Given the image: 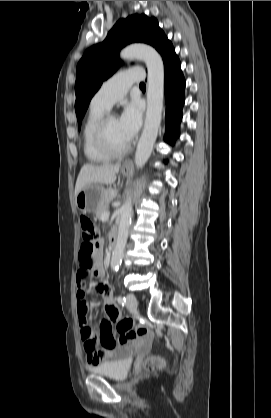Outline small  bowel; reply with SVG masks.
Masks as SVG:
<instances>
[{"label":"small bowel","instance_id":"obj_1","mask_svg":"<svg viewBox=\"0 0 271 418\" xmlns=\"http://www.w3.org/2000/svg\"><path fill=\"white\" fill-rule=\"evenodd\" d=\"M104 271L105 260L102 259L101 243L95 246L94 242H87L86 245L80 246V249L76 251L77 314L86 360L92 366L114 359L122 352L129 351L132 345L143 342V340H135V338L127 343L121 342L120 339L119 342L115 340L112 325L114 323L118 325L121 321V314L113 301L111 288L108 283L102 280ZM91 276L101 280L97 289L104 298L105 318L99 323L97 333L87 319V314L95 305L94 302H89L86 297L87 284L91 283Z\"/></svg>","mask_w":271,"mask_h":418}]
</instances>
